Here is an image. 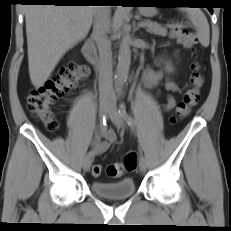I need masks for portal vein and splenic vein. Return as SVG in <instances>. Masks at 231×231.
Returning a JSON list of instances; mask_svg holds the SVG:
<instances>
[{"instance_id": "1", "label": "portal vein and splenic vein", "mask_w": 231, "mask_h": 231, "mask_svg": "<svg viewBox=\"0 0 231 231\" xmlns=\"http://www.w3.org/2000/svg\"><path fill=\"white\" fill-rule=\"evenodd\" d=\"M140 25H141V26H145L146 24H145L144 22H142Z\"/></svg>"}]
</instances>
